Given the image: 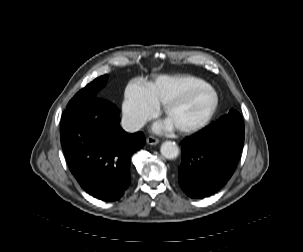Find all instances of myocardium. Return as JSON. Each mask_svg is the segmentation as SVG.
<instances>
[{"mask_svg":"<svg viewBox=\"0 0 303 252\" xmlns=\"http://www.w3.org/2000/svg\"><path fill=\"white\" fill-rule=\"evenodd\" d=\"M203 89L208 90L210 93V105H209L205 115L203 116V118L201 120H199L198 122H196L194 124L175 126V129L178 130L179 132H182V133L195 132V131L200 130L203 127H205L211 121V119L214 116V113L217 109V105H218V96H217L215 89L213 87H211L209 84L201 83L200 85H198L196 88H194L191 92H189L187 95H185L181 99L169 102L164 105L163 114L167 118L168 115L171 113V111L175 107L186 103L195 92H197L199 90H203Z\"/></svg>","mask_w":303,"mask_h":252,"instance_id":"f54148a6","label":"myocardium"}]
</instances>
